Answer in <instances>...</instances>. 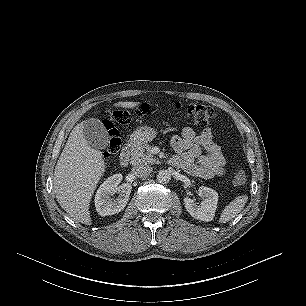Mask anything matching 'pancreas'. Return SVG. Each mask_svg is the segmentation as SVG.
<instances>
[{"label": "pancreas", "mask_w": 306, "mask_h": 306, "mask_svg": "<svg viewBox=\"0 0 306 306\" xmlns=\"http://www.w3.org/2000/svg\"><path fill=\"white\" fill-rule=\"evenodd\" d=\"M151 149L152 147L148 144L139 145L131 156V163L133 165L156 163V159L154 158Z\"/></svg>", "instance_id": "obj_1"}]
</instances>
